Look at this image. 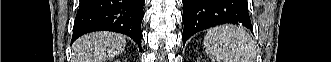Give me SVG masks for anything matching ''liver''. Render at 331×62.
I'll list each match as a JSON object with an SVG mask.
<instances>
[{
	"label": "liver",
	"instance_id": "liver-1",
	"mask_svg": "<svg viewBox=\"0 0 331 62\" xmlns=\"http://www.w3.org/2000/svg\"><path fill=\"white\" fill-rule=\"evenodd\" d=\"M126 39L112 32H93L72 45L73 62H105L123 52Z\"/></svg>",
	"mask_w": 331,
	"mask_h": 62
}]
</instances>
